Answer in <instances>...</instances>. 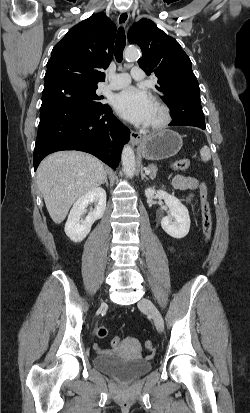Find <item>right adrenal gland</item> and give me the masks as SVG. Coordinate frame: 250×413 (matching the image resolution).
Returning a JSON list of instances; mask_svg holds the SVG:
<instances>
[{"label":"right adrenal gland","instance_id":"1","mask_svg":"<svg viewBox=\"0 0 250 413\" xmlns=\"http://www.w3.org/2000/svg\"><path fill=\"white\" fill-rule=\"evenodd\" d=\"M102 184H106L107 187L109 186L108 179H107V174H105V178H104V181H103Z\"/></svg>","mask_w":250,"mask_h":413}]
</instances>
